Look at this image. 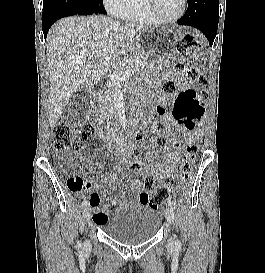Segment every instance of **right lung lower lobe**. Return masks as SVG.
<instances>
[{"label":"right lung lower lobe","mask_w":265,"mask_h":273,"mask_svg":"<svg viewBox=\"0 0 265 273\" xmlns=\"http://www.w3.org/2000/svg\"><path fill=\"white\" fill-rule=\"evenodd\" d=\"M72 15L87 16L91 14L77 13L75 11L67 10V9H57V10L50 11L46 14H42V30L44 33V37L46 38L49 28L52 26V24L55 21H57L60 18L72 16Z\"/></svg>","instance_id":"right-lung-lower-lobe-1"}]
</instances>
